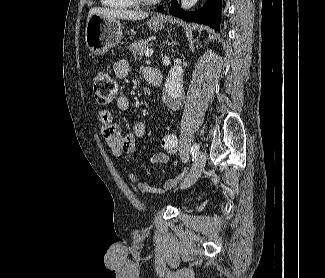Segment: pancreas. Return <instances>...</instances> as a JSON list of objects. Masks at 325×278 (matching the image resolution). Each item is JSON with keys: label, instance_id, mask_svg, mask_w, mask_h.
<instances>
[{"label": "pancreas", "instance_id": "obj_1", "mask_svg": "<svg viewBox=\"0 0 325 278\" xmlns=\"http://www.w3.org/2000/svg\"><path fill=\"white\" fill-rule=\"evenodd\" d=\"M149 39H141L133 42L128 48L132 52L135 59L143 57L148 49Z\"/></svg>", "mask_w": 325, "mask_h": 278}]
</instances>
